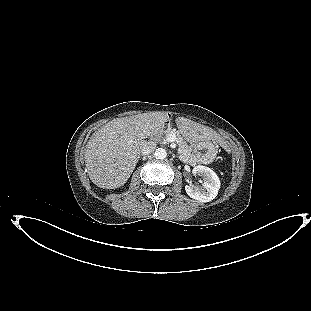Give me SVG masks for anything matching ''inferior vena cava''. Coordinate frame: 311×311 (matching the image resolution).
I'll list each match as a JSON object with an SVG mask.
<instances>
[{"mask_svg": "<svg viewBox=\"0 0 311 311\" xmlns=\"http://www.w3.org/2000/svg\"><path fill=\"white\" fill-rule=\"evenodd\" d=\"M155 149V143L154 142H146L141 150L142 155H149L151 154Z\"/></svg>", "mask_w": 311, "mask_h": 311, "instance_id": "1", "label": "inferior vena cava"}]
</instances>
